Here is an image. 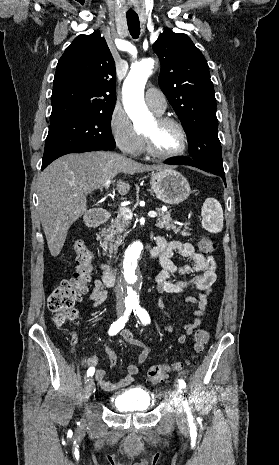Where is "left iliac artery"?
Wrapping results in <instances>:
<instances>
[{
  "label": "left iliac artery",
  "instance_id": "44dca946",
  "mask_svg": "<svg viewBox=\"0 0 279 465\" xmlns=\"http://www.w3.org/2000/svg\"><path fill=\"white\" fill-rule=\"evenodd\" d=\"M132 309H133L134 314L137 315V316L139 317V319H140V321H141L142 323H144V324H149V323H150L149 314L147 313V311H146L145 309L141 308L140 305L134 304V305L132 306ZM178 383H179V387H180L181 389H185L186 383H185L184 380L180 379V380L178 381ZM185 409H186V411H187L188 420H189V421H192V420H193V416H192V414H191V411H190V408H189V406H188V403H185Z\"/></svg>",
  "mask_w": 279,
  "mask_h": 465
}]
</instances>
